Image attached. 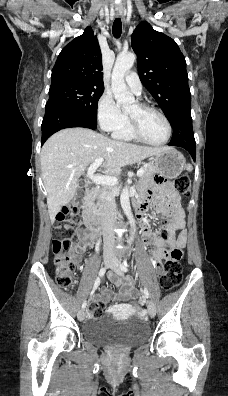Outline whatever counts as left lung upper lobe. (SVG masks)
Segmentation results:
<instances>
[{
	"label": "left lung upper lobe",
	"instance_id": "obj_1",
	"mask_svg": "<svg viewBox=\"0 0 228 396\" xmlns=\"http://www.w3.org/2000/svg\"><path fill=\"white\" fill-rule=\"evenodd\" d=\"M139 77L170 122L178 121L181 108L190 107L185 57L176 42L141 22L132 34Z\"/></svg>",
	"mask_w": 228,
	"mask_h": 396
}]
</instances>
